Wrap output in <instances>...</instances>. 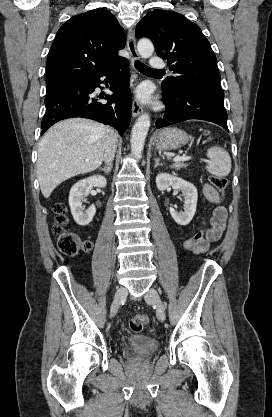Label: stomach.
<instances>
[{"label": "stomach", "instance_id": "1", "mask_svg": "<svg viewBox=\"0 0 272 417\" xmlns=\"http://www.w3.org/2000/svg\"><path fill=\"white\" fill-rule=\"evenodd\" d=\"M187 133L175 127L161 130L154 138V146L158 150H176L188 143Z\"/></svg>", "mask_w": 272, "mask_h": 417}]
</instances>
